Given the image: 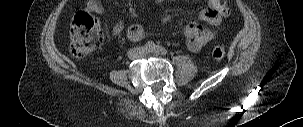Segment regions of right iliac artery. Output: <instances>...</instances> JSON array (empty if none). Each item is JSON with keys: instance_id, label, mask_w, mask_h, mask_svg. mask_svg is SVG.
<instances>
[{"instance_id": "82829eb1", "label": "right iliac artery", "mask_w": 303, "mask_h": 127, "mask_svg": "<svg viewBox=\"0 0 303 127\" xmlns=\"http://www.w3.org/2000/svg\"><path fill=\"white\" fill-rule=\"evenodd\" d=\"M146 49L149 50V47L147 46V44H146Z\"/></svg>"}]
</instances>
